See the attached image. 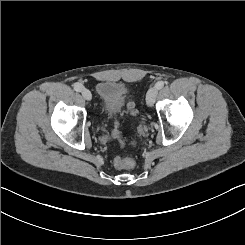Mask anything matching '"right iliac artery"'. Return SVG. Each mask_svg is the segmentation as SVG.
I'll return each instance as SVG.
<instances>
[{"instance_id":"obj_1","label":"right iliac artery","mask_w":245,"mask_h":245,"mask_svg":"<svg viewBox=\"0 0 245 245\" xmlns=\"http://www.w3.org/2000/svg\"><path fill=\"white\" fill-rule=\"evenodd\" d=\"M82 89H83V86H82L81 84L76 83V84L74 85V90H75V91L81 92Z\"/></svg>"}]
</instances>
